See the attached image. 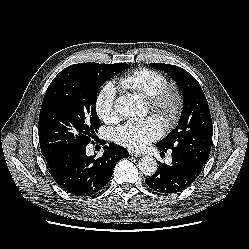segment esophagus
Returning a JSON list of instances; mask_svg holds the SVG:
<instances>
[{"label": "esophagus", "mask_w": 249, "mask_h": 249, "mask_svg": "<svg viewBox=\"0 0 249 249\" xmlns=\"http://www.w3.org/2000/svg\"><path fill=\"white\" fill-rule=\"evenodd\" d=\"M130 156H134V157H141L142 154L138 153V152H134V151H129Z\"/></svg>", "instance_id": "esophagus-1"}]
</instances>
